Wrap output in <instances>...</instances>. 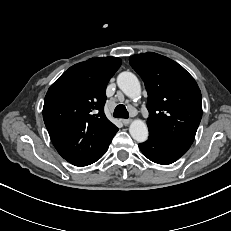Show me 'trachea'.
Returning <instances> with one entry per match:
<instances>
[{
	"mask_svg": "<svg viewBox=\"0 0 231 231\" xmlns=\"http://www.w3.org/2000/svg\"><path fill=\"white\" fill-rule=\"evenodd\" d=\"M113 116L116 118H129V113L126 109V107L123 104L117 105V107L114 110Z\"/></svg>",
	"mask_w": 231,
	"mask_h": 231,
	"instance_id": "3493384b",
	"label": "trachea"
}]
</instances>
